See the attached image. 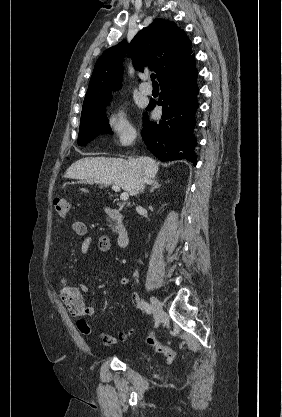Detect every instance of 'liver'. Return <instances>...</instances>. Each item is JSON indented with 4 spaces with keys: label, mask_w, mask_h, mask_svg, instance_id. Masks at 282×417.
<instances>
[{
    "label": "liver",
    "mask_w": 282,
    "mask_h": 417,
    "mask_svg": "<svg viewBox=\"0 0 282 417\" xmlns=\"http://www.w3.org/2000/svg\"><path fill=\"white\" fill-rule=\"evenodd\" d=\"M158 164L150 156L139 158H106V156H85L73 162L67 168L66 178H86L92 182L101 184H117L129 194H137L139 170H143L146 178H154L158 172ZM83 192H89L86 188H80Z\"/></svg>",
    "instance_id": "1"
}]
</instances>
